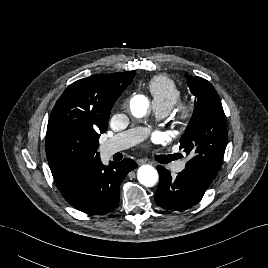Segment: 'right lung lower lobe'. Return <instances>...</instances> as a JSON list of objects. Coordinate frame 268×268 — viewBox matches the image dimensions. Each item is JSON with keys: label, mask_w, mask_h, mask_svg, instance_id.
Wrapping results in <instances>:
<instances>
[{"label": "right lung lower lobe", "mask_w": 268, "mask_h": 268, "mask_svg": "<svg viewBox=\"0 0 268 268\" xmlns=\"http://www.w3.org/2000/svg\"><path fill=\"white\" fill-rule=\"evenodd\" d=\"M137 167L131 159L121 162L101 160L94 162L85 176L78 182L76 189L66 200L76 209L87 214H105L119 205V186L125 176Z\"/></svg>", "instance_id": "98d812e1"}]
</instances>
